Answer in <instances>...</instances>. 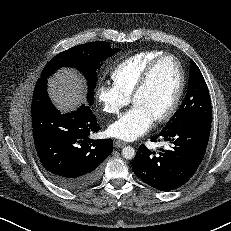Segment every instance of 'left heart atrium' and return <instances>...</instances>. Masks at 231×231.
<instances>
[{"instance_id":"obj_1","label":"left heart atrium","mask_w":231,"mask_h":231,"mask_svg":"<svg viewBox=\"0 0 231 231\" xmlns=\"http://www.w3.org/2000/svg\"><path fill=\"white\" fill-rule=\"evenodd\" d=\"M154 121L155 118L149 111L134 105L109 125L108 132L112 137L132 141L145 134L152 127Z\"/></svg>"}]
</instances>
